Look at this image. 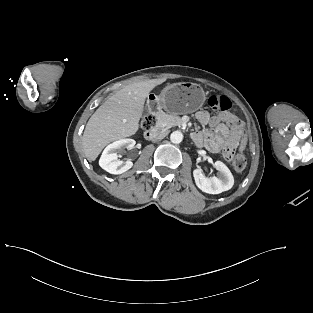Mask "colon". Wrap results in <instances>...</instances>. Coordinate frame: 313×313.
I'll list each match as a JSON object with an SVG mask.
<instances>
[{
  "mask_svg": "<svg viewBox=\"0 0 313 313\" xmlns=\"http://www.w3.org/2000/svg\"><path fill=\"white\" fill-rule=\"evenodd\" d=\"M209 107L217 112H226L228 111L232 103L229 98L223 95H211L208 99ZM155 118L152 114H148L143 117L141 121V127L144 130H149L155 126ZM224 157L232 162V165L236 172H243L247 166L246 157L241 153L236 151V149L227 146L223 150Z\"/></svg>",
  "mask_w": 313,
  "mask_h": 313,
  "instance_id": "1",
  "label": "colon"
}]
</instances>
